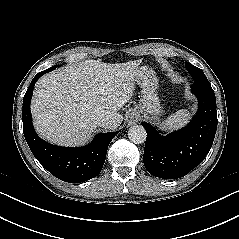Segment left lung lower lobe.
Here are the masks:
<instances>
[{
    "label": "left lung lower lobe",
    "instance_id": "left-lung-lower-lobe-1",
    "mask_svg": "<svg viewBox=\"0 0 239 239\" xmlns=\"http://www.w3.org/2000/svg\"><path fill=\"white\" fill-rule=\"evenodd\" d=\"M191 89L199 107L186 127L162 136L152 125L141 123L147 132L143 162L153 176L181 178L199 165L212 147L217 129L215 93L210 84L194 83Z\"/></svg>",
    "mask_w": 239,
    "mask_h": 239
}]
</instances>
